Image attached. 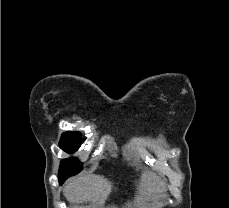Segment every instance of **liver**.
Instances as JSON below:
<instances>
[{
	"mask_svg": "<svg viewBox=\"0 0 229 208\" xmlns=\"http://www.w3.org/2000/svg\"><path fill=\"white\" fill-rule=\"evenodd\" d=\"M140 186L142 196L152 198L155 194L166 192L165 182L154 172H144ZM111 192L110 182H107L103 176H81L77 180H68L64 188V196L68 202H100L105 204Z\"/></svg>",
	"mask_w": 229,
	"mask_h": 208,
	"instance_id": "6515ba94",
	"label": "liver"
}]
</instances>
